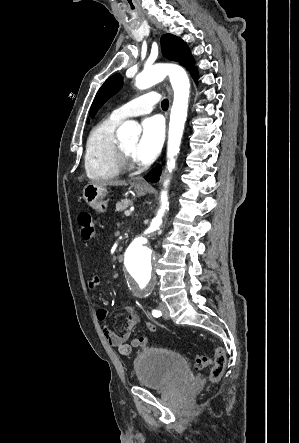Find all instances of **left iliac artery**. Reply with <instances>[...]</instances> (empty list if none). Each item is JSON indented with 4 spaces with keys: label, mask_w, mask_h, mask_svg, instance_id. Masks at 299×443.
<instances>
[{
    "label": "left iliac artery",
    "mask_w": 299,
    "mask_h": 443,
    "mask_svg": "<svg viewBox=\"0 0 299 443\" xmlns=\"http://www.w3.org/2000/svg\"><path fill=\"white\" fill-rule=\"evenodd\" d=\"M152 315L157 318V317H160L162 315V313L160 310L155 309V310H152Z\"/></svg>",
    "instance_id": "left-iliac-artery-1"
}]
</instances>
